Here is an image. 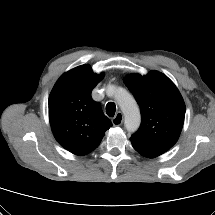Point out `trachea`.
Here are the masks:
<instances>
[{
  "instance_id": "trachea-1",
  "label": "trachea",
  "mask_w": 215,
  "mask_h": 215,
  "mask_svg": "<svg viewBox=\"0 0 215 215\" xmlns=\"http://www.w3.org/2000/svg\"><path fill=\"white\" fill-rule=\"evenodd\" d=\"M116 111V105L113 102H109L106 105V113L108 116L113 117Z\"/></svg>"
}]
</instances>
